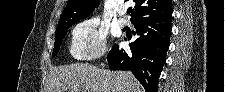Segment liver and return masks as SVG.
Returning <instances> with one entry per match:
<instances>
[{
  "mask_svg": "<svg viewBox=\"0 0 225 92\" xmlns=\"http://www.w3.org/2000/svg\"><path fill=\"white\" fill-rule=\"evenodd\" d=\"M143 92L136 78L127 71H109L94 65L75 63L51 69L47 92Z\"/></svg>",
  "mask_w": 225,
  "mask_h": 92,
  "instance_id": "liver-1",
  "label": "liver"
}]
</instances>
